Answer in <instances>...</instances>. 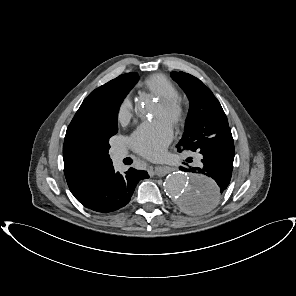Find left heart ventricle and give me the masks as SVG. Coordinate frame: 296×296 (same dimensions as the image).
<instances>
[{
    "label": "left heart ventricle",
    "instance_id": "left-heart-ventricle-1",
    "mask_svg": "<svg viewBox=\"0 0 296 296\" xmlns=\"http://www.w3.org/2000/svg\"><path fill=\"white\" fill-rule=\"evenodd\" d=\"M155 117L166 119V117H165V111H164V108L162 107L161 104H159V106H158V109H157V111L155 113Z\"/></svg>",
    "mask_w": 296,
    "mask_h": 296
}]
</instances>
